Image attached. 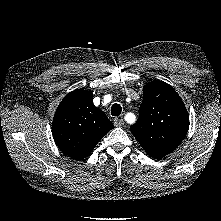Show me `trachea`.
<instances>
[{"label": "trachea", "mask_w": 221, "mask_h": 221, "mask_svg": "<svg viewBox=\"0 0 221 221\" xmlns=\"http://www.w3.org/2000/svg\"><path fill=\"white\" fill-rule=\"evenodd\" d=\"M122 112V107L121 105L115 103L111 107V115L112 116H119Z\"/></svg>", "instance_id": "trachea-1"}]
</instances>
